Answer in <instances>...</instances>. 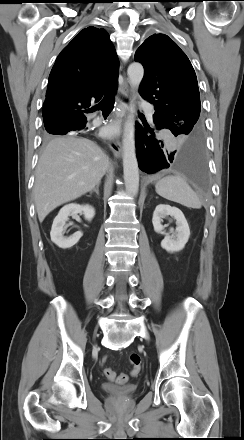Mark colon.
<instances>
[{
	"label": "colon",
	"mask_w": 244,
	"mask_h": 440,
	"mask_svg": "<svg viewBox=\"0 0 244 440\" xmlns=\"http://www.w3.org/2000/svg\"><path fill=\"white\" fill-rule=\"evenodd\" d=\"M130 363L133 366L132 374L137 375L140 372L141 369V358L137 353H132L130 355ZM104 375L107 380L114 381L116 380L117 384L124 385L128 381V376L124 373L119 374L116 377V373L111 368H106L104 370Z\"/></svg>",
	"instance_id": "colon-1"
}]
</instances>
